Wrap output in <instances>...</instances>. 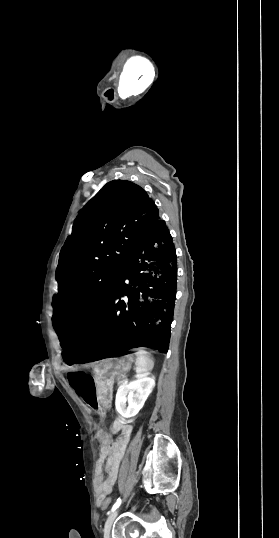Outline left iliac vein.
<instances>
[{"label": "left iliac vein", "instance_id": "left-iliac-vein-1", "mask_svg": "<svg viewBox=\"0 0 279 538\" xmlns=\"http://www.w3.org/2000/svg\"><path fill=\"white\" fill-rule=\"evenodd\" d=\"M118 512H119V510H115L112 513L109 514V516H108V518H107V520L105 522V526H104V538H110V531H111L113 522H114L115 518L118 515Z\"/></svg>", "mask_w": 279, "mask_h": 538}]
</instances>
